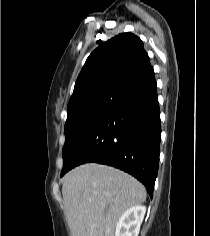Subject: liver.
<instances>
[{"mask_svg":"<svg viewBox=\"0 0 210 236\" xmlns=\"http://www.w3.org/2000/svg\"><path fill=\"white\" fill-rule=\"evenodd\" d=\"M62 195L71 236H114L120 216L146 200L145 187L135 178L96 163L67 173Z\"/></svg>","mask_w":210,"mask_h":236,"instance_id":"liver-1","label":"liver"}]
</instances>
